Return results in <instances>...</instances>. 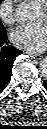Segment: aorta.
Masks as SVG:
<instances>
[{"mask_svg":"<svg viewBox=\"0 0 47 129\" xmlns=\"http://www.w3.org/2000/svg\"><path fill=\"white\" fill-rule=\"evenodd\" d=\"M15 14H16L17 19L20 21L32 22L36 18L37 10L33 6L24 4V5H20L16 9ZM41 69L44 74H47V62L46 61H43L41 65Z\"/></svg>","mask_w":47,"mask_h":129,"instance_id":"obj_1","label":"aorta"}]
</instances>
